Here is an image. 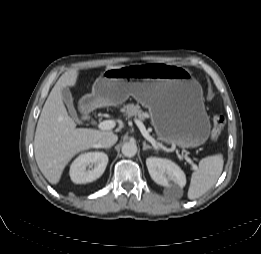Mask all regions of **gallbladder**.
Here are the masks:
<instances>
[{
    "label": "gallbladder",
    "instance_id": "1",
    "mask_svg": "<svg viewBox=\"0 0 261 254\" xmlns=\"http://www.w3.org/2000/svg\"><path fill=\"white\" fill-rule=\"evenodd\" d=\"M62 97H63V100H64V102L66 103V105L69 109L70 114L78 121L76 110H75L74 105H73V97H72V94H71V92L68 88L62 89Z\"/></svg>",
    "mask_w": 261,
    "mask_h": 254
}]
</instances>
